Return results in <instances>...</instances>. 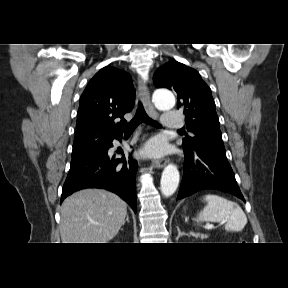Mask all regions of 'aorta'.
Here are the masks:
<instances>
[{
  "mask_svg": "<svg viewBox=\"0 0 288 288\" xmlns=\"http://www.w3.org/2000/svg\"><path fill=\"white\" fill-rule=\"evenodd\" d=\"M155 106L160 110H170L175 106V97L169 91H156L153 95ZM179 171L176 165H167L162 173L160 188L165 197L173 195L179 184Z\"/></svg>",
  "mask_w": 288,
  "mask_h": 288,
  "instance_id": "obj_1",
  "label": "aorta"
}]
</instances>
